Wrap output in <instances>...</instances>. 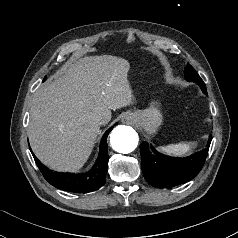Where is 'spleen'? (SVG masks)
Here are the masks:
<instances>
[{
    "label": "spleen",
    "instance_id": "spleen-1",
    "mask_svg": "<svg viewBox=\"0 0 238 238\" xmlns=\"http://www.w3.org/2000/svg\"><path fill=\"white\" fill-rule=\"evenodd\" d=\"M195 143H178V144H169L167 146H160L159 150L173 156H184L191 152L192 145Z\"/></svg>",
    "mask_w": 238,
    "mask_h": 238
}]
</instances>
